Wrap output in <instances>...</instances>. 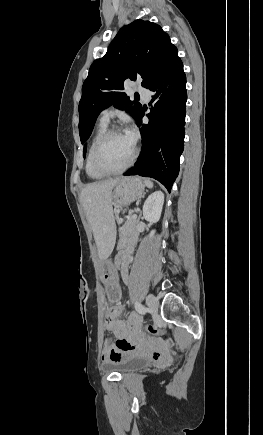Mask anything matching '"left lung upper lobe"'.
<instances>
[{
	"mask_svg": "<svg viewBox=\"0 0 263 435\" xmlns=\"http://www.w3.org/2000/svg\"><path fill=\"white\" fill-rule=\"evenodd\" d=\"M177 59V48L159 25L136 20L123 26L107 53L92 63L83 84L79 103L82 144L91 135L99 113L112 104L125 109L137 121L143 108L122 92L124 81L142 78V86L150 89L165 76ZM85 153L86 145L84 156Z\"/></svg>",
	"mask_w": 263,
	"mask_h": 435,
	"instance_id": "left-lung-upper-lobe-1",
	"label": "left lung upper lobe"
}]
</instances>
